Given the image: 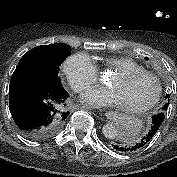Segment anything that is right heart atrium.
<instances>
[{
  "label": "right heart atrium",
  "mask_w": 177,
  "mask_h": 177,
  "mask_svg": "<svg viewBox=\"0 0 177 177\" xmlns=\"http://www.w3.org/2000/svg\"><path fill=\"white\" fill-rule=\"evenodd\" d=\"M62 70L75 92H82L99 79V70L93 60L84 53L69 56L63 63Z\"/></svg>",
  "instance_id": "obj_1"
}]
</instances>
